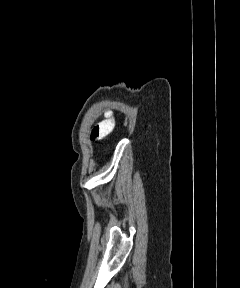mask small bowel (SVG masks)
Wrapping results in <instances>:
<instances>
[{
	"instance_id": "1",
	"label": "small bowel",
	"mask_w": 240,
	"mask_h": 288,
	"mask_svg": "<svg viewBox=\"0 0 240 288\" xmlns=\"http://www.w3.org/2000/svg\"><path fill=\"white\" fill-rule=\"evenodd\" d=\"M115 122L112 118V114L108 112L106 118L98 123L92 130L91 138L92 139H101L108 135L114 128Z\"/></svg>"
}]
</instances>
